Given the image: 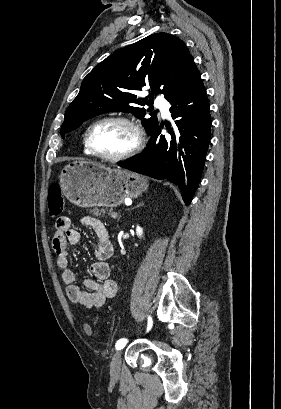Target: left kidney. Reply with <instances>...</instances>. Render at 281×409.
I'll return each instance as SVG.
<instances>
[{"label":"left kidney","mask_w":281,"mask_h":409,"mask_svg":"<svg viewBox=\"0 0 281 409\" xmlns=\"http://www.w3.org/2000/svg\"><path fill=\"white\" fill-rule=\"evenodd\" d=\"M136 235H138L139 239H141V237H143V229H142V227H139V225H137V227H136Z\"/></svg>","instance_id":"5707ae66"}]
</instances>
